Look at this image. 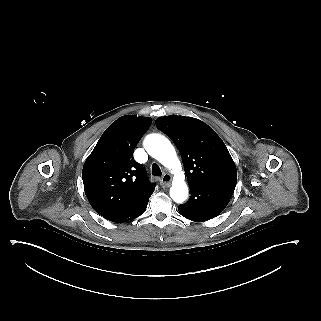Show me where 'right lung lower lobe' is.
<instances>
[{"label":"right lung lower lobe","mask_w":321,"mask_h":321,"mask_svg":"<svg viewBox=\"0 0 321 321\" xmlns=\"http://www.w3.org/2000/svg\"><path fill=\"white\" fill-rule=\"evenodd\" d=\"M150 196L145 197L139 203L124 211L106 217V219L116 223H123L137 218L145 212Z\"/></svg>","instance_id":"1"}]
</instances>
